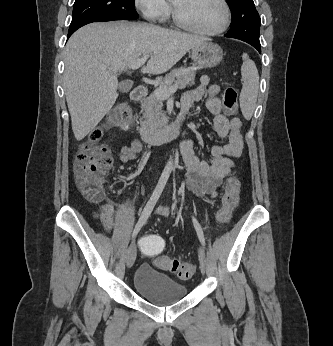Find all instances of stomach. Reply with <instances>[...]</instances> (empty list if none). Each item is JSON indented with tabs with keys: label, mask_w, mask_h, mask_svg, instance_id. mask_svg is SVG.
Masks as SVG:
<instances>
[{
	"label": "stomach",
	"mask_w": 333,
	"mask_h": 346,
	"mask_svg": "<svg viewBox=\"0 0 333 346\" xmlns=\"http://www.w3.org/2000/svg\"><path fill=\"white\" fill-rule=\"evenodd\" d=\"M223 57L222 49L210 41H205L191 50V58L195 64L203 68H212L218 65Z\"/></svg>",
	"instance_id": "0dacf381"
}]
</instances>
